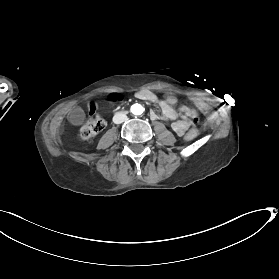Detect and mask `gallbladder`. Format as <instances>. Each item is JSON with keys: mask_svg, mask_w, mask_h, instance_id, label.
Instances as JSON below:
<instances>
[{"mask_svg": "<svg viewBox=\"0 0 279 279\" xmlns=\"http://www.w3.org/2000/svg\"><path fill=\"white\" fill-rule=\"evenodd\" d=\"M70 120H71V122L74 123V124H79V123H81L82 120H83V115H82V113L79 112V111H74V112H72L71 115H70Z\"/></svg>", "mask_w": 279, "mask_h": 279, "instance_id": "bac80fb5", "label": "gallbladder"}]
</instances>
